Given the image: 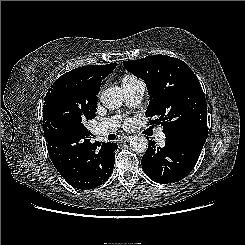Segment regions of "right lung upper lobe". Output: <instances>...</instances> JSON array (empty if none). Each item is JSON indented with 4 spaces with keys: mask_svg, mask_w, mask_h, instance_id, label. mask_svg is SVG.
<instances>
[{
    "mask_svg": "<svg viewBox=\"0 0 245 245\" xmlns=\"http://www.w3.org/2000/svg\"><path fill=\"white\" fill-rule=\"evenodd\" d=\"M116 63L90 65L63 74L51 86L43 106V130L46 141L68 140L76 145L90 140L85 123L96 115L97 95L101 81Z\"/></svg>",
    "mask_w": 245,
    "mask_h": 245,
    "instance_id": "1",
    "label": "right lung upper lobe"
}]
</instances>
